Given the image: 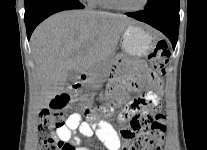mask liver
<instances>
[{"label":"liver","mask_w":207,"mask_h":150,"mask_svg":"<svg viewBox=\"0 0 207 150\" xmlns=\"http://www.w3.org/2000/svg\"><path fill=\"white\" fill-rule=\"evenodd\" d=\"M135 23L123 15L92 10L62 11L42 22L30 40L36 112L63 91L69 71L85 74L107 60L124 30Z\"/></svg>","instance_id":"liver-1"}]
</instances>
